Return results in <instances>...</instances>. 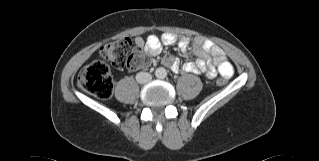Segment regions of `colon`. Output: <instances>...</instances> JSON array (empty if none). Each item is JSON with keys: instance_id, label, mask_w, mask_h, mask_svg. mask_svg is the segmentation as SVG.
<instances>
[{"instance_id": "5ec220e1", "label": "colon", "mask_w": 319, "mask_h": 161, "mask_svg": "<svg viewBox=\"0 0 319 161\" xmlns=\"http://www.w3.org/2000/svg\"><path fill=\"white\" fill-rule=\"evenodd\" d=\"M101 54L120 69L138 70L151 64V59L143 47L134 45L129 38L107 42L102 46ZM217 83L223 85L225 79L220 78ZM78 85L99 98H109L113 93L111 72L108 66L100 61H93L82 68Z\"/></svg>"}]
</instances>
